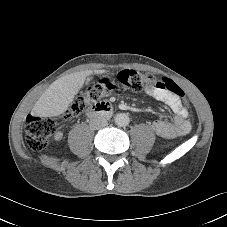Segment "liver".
Returning a JSON list of instances; mask_svg holds the SVG:
<instances>
[{
  "label": "liver",
  "mask_w": 227,
  "mask_h": 227,
  "mask_svg": "<svg viewBox=\"0 0 227 227\" xmlns=\"http://www.w3.org/2000/svg\"><path fill=\"white\" fill-rule=\"evenodd\" d=\"M105 70H86L72 73L54 81L40 96L32 109V115L53 117L63 114L75 95L91 74H103Z\"/></svg>",
  "instance_id": "6515ba94"
}]
</instances>
